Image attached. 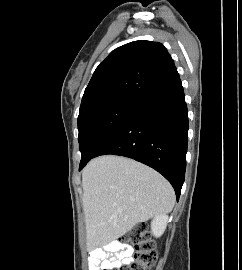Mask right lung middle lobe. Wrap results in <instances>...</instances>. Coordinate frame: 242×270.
<instances>
[{"instance_id": "dd1d6c3e", "label": "right lung middle lobe", "mask_w": 242, "mask_h": 270, "mask_svg": "<svg viewBox=\"0 0 242 270\" xmlns=\"http://www.w3.org/2000/svg\"><path fill=\"white\" fill-rule=\"evenodd\" d=\"M136 102L118 100L90 108L78 116L81 162L90 160L122 124Z\"/></svg>"}]
</instances>
